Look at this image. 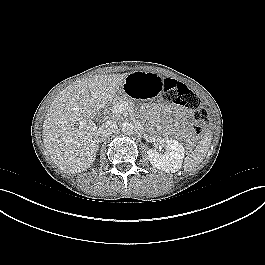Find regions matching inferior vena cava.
<instances>
[{
    "label": "inferior vena cava",
    "mask_w": 265,
    "mask_h": 265,
    "mask_svg": "<svg viewBox=\"0 0 265 265\" xmlns=\"http://www.w3.org/2000/svg\"><path fill=\"white\" fill-rule=\"evenodd\" d=\"M117 128L118 126L116 122L108 120L99 127L98 133L103 137L110 136L117 131Z\"/></svg>",
    "instance_id": "inferior-vena-cava-1"
}]
</instances>
